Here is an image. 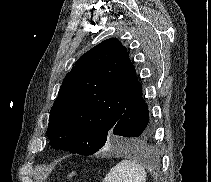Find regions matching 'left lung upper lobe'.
<instances>
[{
  "label": "left lung upper lobe",
  "instance_id": "obj_1",
  "mask_svg": "<svg viewBox=\"0 0 211 182\" xmlns=\"http://www.w3.org/2000/svg\"><path fill=\"white\" fill-rule=\"evenodd\" d=\"M141 91L122 43L116 38L99 43L64 78L50 111V145L81 155L96 153Z\"/></svg>",
  "mask_w": 211,
  "mask_h": 182
}]
</instances>
